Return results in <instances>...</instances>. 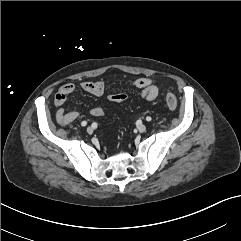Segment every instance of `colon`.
Instances as JSON below:
<instances>
[{
    "label": "colon",
    "instance_id": "colon-1",
    "mask_svg": "<svg viewBox=\"0 0 241 241\" xmlns=\"http://www.w3.org/2000/svg\"><path fill=\"white\" fill-rule=\"evenodd\" d=\"M114 102H122L126 99V95L123 93H117L110 97ZM166 105L170 110H175L177 108V98L172 93H167L166 95Z\"/></svg>",
    "mask_w": 241,
    "mask_h": 241
}]
</instances>
